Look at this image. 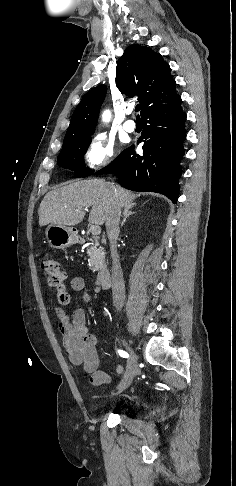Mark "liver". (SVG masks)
Here are the masks:
<instances>
[{"label": "liver", "instance_id": "1", "mask_svg": "<svg viewBox=\"0 0 236 486\" xmlns=\"http://www.w3.org/2000/svg\"><path fill=\"white\" fill-rule=\"evenodd\" d=\"M117 200L121 207H132L137 195L120 186L116 187ZM112 198L108 183L102 179H88L70 183L48 192L39 209V225L57 224L74 226L79 224L85 212L83 208L92 206L89 223H106Z\"/></svg>", "mask_w": 236, "mask_h": 486}]
</instances>
